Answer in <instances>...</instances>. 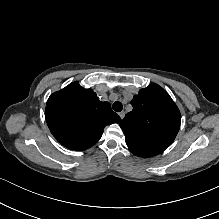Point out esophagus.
Segmentation results:
<instances>
[{
  "instance_id": "obj_1",
  "label": "esophagus",
  "mask_w": 219,
  "mask_h": 219,
  "mask_svg": "<svg viewBox=\"0 0 219 219\" xmlns=\"http://www.w3.org/2000/svg\"><path fill=\"white\" fill-rule=\"evenodd\" d=\"M119 116H120L121 119H123L124 116H125V113H124V112H120V113H119Z\"/></svg>"
}]
</instances>
